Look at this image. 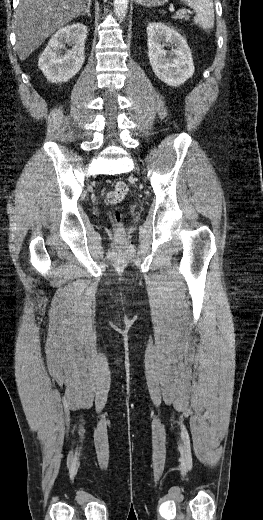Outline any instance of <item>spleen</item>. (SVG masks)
<instances>
[{"mask_svg":"<svg viewBox=\"0 0 263 520\" xmlns=\"http://www.w3.org/2000/svg\"><path fill=\"white\" fill-rule=\"evenodd\" d=\"M190 8L194 9L196 15L194 22L202 29L209 30L214 26V5L212 0H181Z\"/></svg>","mask_w":263,"mask_h":520,"instance_id":"obj_1","label":"spleen"}]
</instances>
